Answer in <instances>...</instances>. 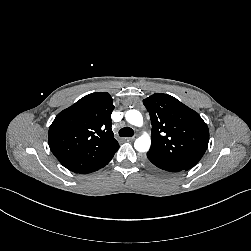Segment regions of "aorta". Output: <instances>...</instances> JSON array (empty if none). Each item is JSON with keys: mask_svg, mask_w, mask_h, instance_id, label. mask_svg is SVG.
Segmentation results:
<instances>
[{"mask_svg": "<svg viewBox=\"0 0 251 251\" xmlns=\"http://www.w3.org/2000/svg\"><path fill=\"white\" fill-rule=\"evenodd\" d=\"M128 123L134 126L141 127L143 125L142 114L137 110H128L125 114ZM151 145V139L147 133L138 137L134 142V147L138 152H146Z\"/></svg>", "mask_w": 251, "mask_h": 251, "instance_id": "aorta-1", "label": "aorta"}]
</instances>
